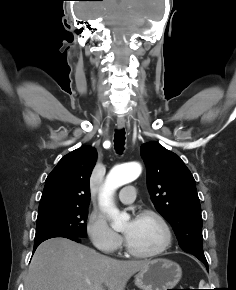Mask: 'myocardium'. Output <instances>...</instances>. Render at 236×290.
I'll return each mask as SVG.
<instances>
[{"label": "myocardium", "mask_w": 236, "mask_h": 290, "mask_svg": "<svg viewBox=\"0 0 236 290\" xmlns=\"http://www.w3.org/2000/svg\"><path fill=\"white\" fill-rule=\"evenodd\" d=\"M138 217H152L154 218L161 226L163 233H164V241L163 243L155 250L149 251V252H143L134 249L127 239L125 240V248L127 252L136 257V258H143V259H149V258H154L157 256H160L163 254L170 246L172 243V231L171 228L167 222V220L164 218L162 214L159 212L153 210V209H144L141 210L138 214Z\"/></svg>", "instance_id": "obj_1"}]
</instances>
